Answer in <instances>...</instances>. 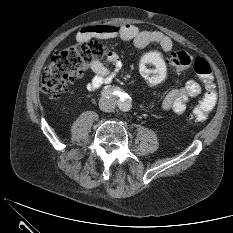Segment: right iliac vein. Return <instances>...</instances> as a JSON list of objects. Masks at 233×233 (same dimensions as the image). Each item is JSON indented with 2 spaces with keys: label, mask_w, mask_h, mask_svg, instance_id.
Here are the masks:
<instances>
[{
  "label": "right iliac vein",
  "mask_w": 233,
  "mask_h": 233,
  "mask_svg": "<svg viewBox=\"0 0 233 233\" xmlns=\"http://www.w3.org/2000/svg\"><path fill=\"white\" fill-rule=\"evenodd\" d=\"M99 106H100V108H101L102 110H105V109L107 108V102L102 101V102L99 104Z\"/></svg>",
  "instance_id": "1"
}]
</instances>
